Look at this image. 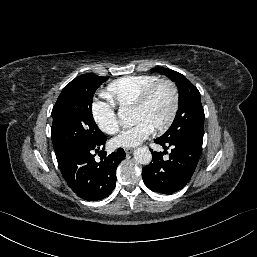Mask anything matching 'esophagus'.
Returning <instances> with one entry per match:
<instances>
[{"instance_id": "1", "label": "esophagus", "mask_w": 257, "mask_h": 257, "mask_svg": "<svg viewBox=\"0 0 257 257\" xmlns=\"http://www.w3.org/2000/svg\"><path fill=\"white\" fill-rule=\"evenodd\" d=\"M124 150H125L126 154H128V155L133 152V149H131V148H125Z\"/></svg>"}]
</instances>
